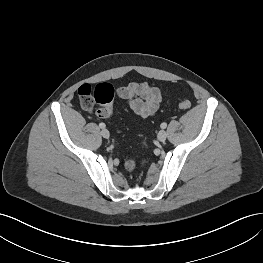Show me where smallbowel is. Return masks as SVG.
<instances>
[{
  "mask_svg": "<svg viewBox=\"0 0 263 263\" xmlns=\"http://www.w3.org/2000/svg\"><path fill=\"white\" fill-rule=\"evenodd\" d=\"M116 94L136 115L142 118L153 116L162 102L159 88L146 82H131L117 88Z\"/></svg>",
  "mask_w": 263,
  "mask_h": 263,
  "instance_id": "small-bowel-1",
  "label": "small bowel"
}]
</instances>
